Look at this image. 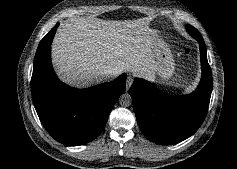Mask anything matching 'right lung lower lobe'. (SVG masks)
<instances>
[{
    "instance_id": "obj_1",
    "label": "right lung lower lobe",
    "mask_w": 237,
    "mask_h": 169,
    "mask_svg": "<svg viewBox=\"0 0 237 169\" xmlns=\"http://www.w3.org/2000/svg\"><path fill=\"white\" fill-rule=\"evenodd\" d=\"M41 40L34 58L32 98L37 114L58 142L78 146L95 139L109 113L125 91L126 74L110 83L75 89L62 83L51 64V43L56 28Z\"/></svg>"
}]
</instances>
